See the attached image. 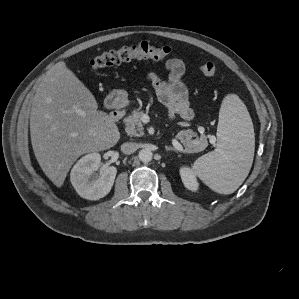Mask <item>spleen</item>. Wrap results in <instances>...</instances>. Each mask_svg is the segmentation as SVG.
Listing matches in <instances>:
<instances>
[{
	"instance_id": "3e777b00",
	"label": "spleen",
	"mask_w": 299,
	"mask_h": 299,
	"mask_svg": "<svg viewBox=\"0 0 299 299\" xmlns=\"http://www.w3.org/2000/svg\"><path fill=\"white\" fill-rule=\"evenodd\" d=\"M217 138L216 149L199 157L192 169L213 191L231 194L248 176L255 149L251 117L235 95L226 96L222 102Z\"/></svg>"
}]
</instances>
